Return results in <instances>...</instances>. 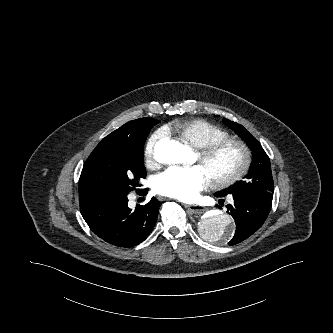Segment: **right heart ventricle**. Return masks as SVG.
<instances>
[{"mask_svg": "<svg viewBox=\"0 0 333 333\" xmlns=\"http://www.w3.org/2000/svg\"><path fill=\"white\" fill-rule=\"evenodd\" d=\"M168 129L178 140L195 148L229 136L223 128L200 119H177L170 123Z\"/></svg>", "mask_w": 333, "mask_h": 333, "instance_id": "e07e8e85", "label": "right heart ventricle"}]
</instances>
